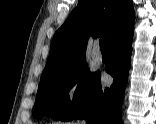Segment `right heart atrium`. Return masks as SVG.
Segmentation results:
<instances>
[{
	"label": "right heart atrium",
	"instance_id": "1",
	"mask_svg": "<svg viewBox=\"0 0 156 124\" xmlns=\"http://www.w3.org/2000/svg\"><path fill=\"white\" fill-rule=\"evenodd\" d=\"M83 89V78L77 77L70 85L66 88L64 98L67 103H75L78 95Z\"/></svg>",
	"mask_w": 156,
	"mask_h": 124
}]
</instances>
